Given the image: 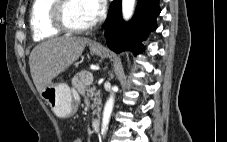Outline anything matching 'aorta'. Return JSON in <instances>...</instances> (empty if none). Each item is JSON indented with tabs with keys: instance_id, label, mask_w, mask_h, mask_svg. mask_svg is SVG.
Wrapping results in <instances>:
<instances>
[{
	"instance_id": "aorta-1",
	"label": "aorta",
	"mask_w": 227,
	"mask_h": 142,
	"mask_svg": "<svg viewBox=\"0 0 227 142\" xmlns=\"http://www.w3.org/2000/svg\"><path fill=\"white\" fill-rule=\"evenodd\" d=\"M135 3H136V0H122V15L125 20H129L132 17ZM113 91H114V88H113ZM113 106H114V97L113 95H111L107 100L103 110L102 127H101L102 135H104L108 129V124L112 114Z\"/></svg>"
}]
</instances>
